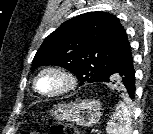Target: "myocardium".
<instances>
[{"label": "myocardium", "instance_id": "obj_1", "mask_svg": "<svg viewBox=\"0 0 153 134\" xmlns=\"http://www.w3.org/2000/svg\"><path fill=\"white\" fill-rule=\"evenodd\" d=\"M45 74H55L59 76L63 81L62 86L53 92H42L41 90H39L38 81L40 77ZM77 83H78L77 77L72 71H70L69 69L63 66L50 65V66H46L42 68L37 73V75L35 76L33 80V88L39 95L48 97V98H53V97H58L71 92L72 90L76 88Z\"/></svg>", "mask_w": 153, "mask_h": 134}]
</instances>
